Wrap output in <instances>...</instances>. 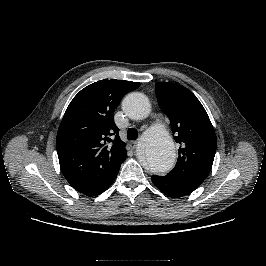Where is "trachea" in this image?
I'll list each match as a JSON object with an SVG mask.
<instances>
[{"mask_svg": "<svg viewBox=\"0 0 266 266\" xmlns=\"http://www.w3.org/2000/svg\"><path fill=\"white\" fill-rule=\"evenodd\" d=\"M127 138L129 140H136L138 138V131L135 128H129L127 131Z\"/></svg>", "mask_w": 266, "mask_h": 266, "instance_id": "3493384b", "label": "trachea"}]
</instances>
